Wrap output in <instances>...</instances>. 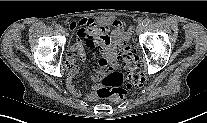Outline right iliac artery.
<instances>
[{"instance_id":"obj_1","label":"right iliac artery","mask_w":207,"mask_h":123,"mask_svg":"<svg viewBox=\"0 0 207 123\" xmlns=\"http://www.w3.org/2000/svg\"><path fill=\"white\" fill-rule=\"evenodd\" d=\"M55 28H56L57 30H61V29H62V27H61L59 24H56V25H55Z\"/></svg>"}]
</instances>
